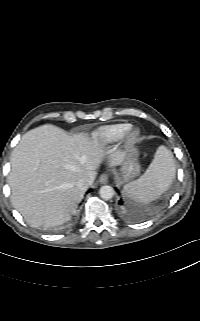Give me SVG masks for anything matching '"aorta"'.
Here are the masks:
<instances>
[{"label": "aorta", "instance_id": "762f6f07", "mask_svg": "<svg viewBox=\"0 0 200 321\" xmlns=\"http://www.w3.org/2000/svg\"><path fill=\"white\" fill-rule=\"evenodd\" d=\"M99 194L102 199L109 200L114 196L115 191L111 186L104 185L100 188Z\"/></svg>", "mask_w": 200, "mask_h": 321}]
</instances>
